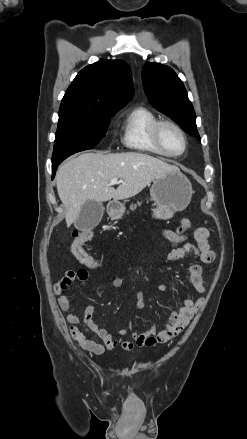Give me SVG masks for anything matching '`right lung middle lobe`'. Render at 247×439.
<instances>
[{"label":"right lung middle lobe","mask_w":247,"mask_h":439,"mask_svg":"<svg viewBox=\"0 0 247 439\" xmlns=\"http://www.w3.org/2000/svg\"><path fill=\"white\" fill-rule=\"evenodd\" d=\"M118 110H60L52 166L70 155L94 148L105 136L110 118Z\"/></svg>","instance_id":"right-lung-middle-lobe-1"}]
</instances>
